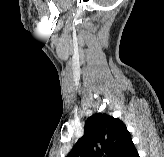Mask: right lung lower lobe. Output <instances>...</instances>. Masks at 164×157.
<instances>
[{
    "label": "right lung lower lobe",
    "mask_w": 164,
    "mask_h": 157,
    "mask_svg": "<svg viewBox=\"0 0 164 157\" xmlns=\"http://www.w3.org/2000/svg\"><path fill=\"white\" fill-rule=\"evenodd\" d=\"M118 157H139L132 140L127 143L124 150L120 153Z\"/></svg>",
    "instance_id": "obj_1"
}]
</instances>
